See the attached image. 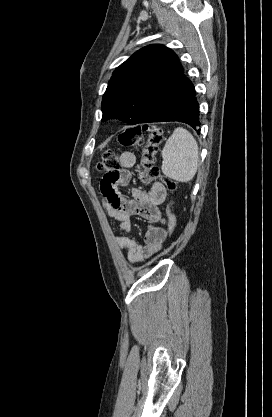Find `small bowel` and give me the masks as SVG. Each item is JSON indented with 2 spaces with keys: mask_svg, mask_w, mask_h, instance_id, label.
<instances>
[{
  "mask_svg": "<svg viewBox=\"0 0 272 417\" xmlns=\"http://www.w3.org/2000/svg\"><path fill=\"white\" fill-rule=\"evenodd\" d=\"M120 161L122 168L115 174H105L101 180L103 207L108 216L117 220L127 234L132 230V216H141L149 221L144 243L127 234L115 238L118 247L127 249L130 263L143 262L158 252L168 236L164 227L166 221L160 210L167 191L160 182H153L149 191L133 186L134 174L130 169L135 168L139 175H144L136 156L131 152H123ZM125 187L130 188L131 199L122 195L120 189Z\"/></svg>",
  "mask_w": 272,
  "mask_h": 417,
  "instance_id": "small-bowel-1",
  "label": "small bowel"
}]
</instances>
